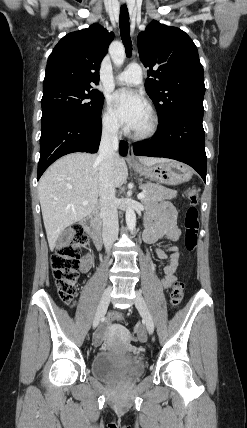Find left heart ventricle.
Masks as SVG:
<instances>
[{
	"label": "left heart ventricle",
	"instance_id": "b2bd125f",
	"mask_svg": "<svg viewBox=\"0 0 247 428\" xmlns=\"http://www.w3.org/2000/svg\"><path fill=\"white\" fill-rule=\"evenodd\" d=\"M150 123L149 114L145 116V118L142 120V122L138 125V127L135 129V131H144L148 128Z\"/></svg>",
	"mask_w": 247,
	"mask_h": 428
}]
</instances>
